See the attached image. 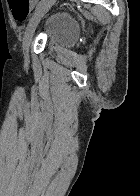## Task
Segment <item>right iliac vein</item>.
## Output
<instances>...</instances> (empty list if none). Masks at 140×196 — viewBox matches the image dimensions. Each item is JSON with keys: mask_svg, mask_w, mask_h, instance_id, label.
<instances>
[{"mask_svg": "<svg viewBox=\"0 0 140 196\" xmlns=\"http://www.w3.org/2000/svg\"><path fill=\"white\" fill-rule=\"evenodd\" d=\"M52 2L49 1L45 5H43L41 8L38 9V12L31 18L26 31L23 36V43L22 48L24 51V54H26V58L28 57V52L31 46V41L33 39L35 30L41 19L45 16V14L49 11L51 8Z\"/></svg>", "mask_w": 140, "mask_h": 196, "instance_id": "63e3f726", "label": "right iliac vein"}]
</instances>
